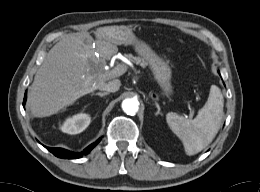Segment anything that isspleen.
<instances>
[{"mask_svg": "<svg viewBox=\"0 0 260 192\" xmlns=\"http://www.w3.org/2000/svg\"><path fill=\"white\" fill-rule=\"evenodd\" d=\"M223 107V95L216 85H212L205 105L193 120L167 113V124L183 142L187 155L199 153L213 141L222 124Z\"/></svg>", "mask_w": 260, "mask_h": 192, "instance_id": "obj_1", "label": "spleen"}]
</instances>
